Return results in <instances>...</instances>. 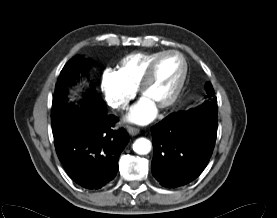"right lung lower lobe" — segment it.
<instances>
[{"label": "right lung lower lobe", "mask_w": 277, "mask_h": 218, "mask_svg": "<svg viewBox=\"0 0 277 218\" xmlns=\"http://www.w3.org/2000/svg\"><path fill=\"white\" fill-rule=\"evenodd\" d=\"M71 83V82H70ZM64 80L56 84L53 100L67 101V85ZM90 92L84 101L82 125L70 129L55 139L57 155L70 178L87 189H99L114 179L118 172L120 153L127 145L129 136L123 129H111L117 118L107 113L91 117L87 108L93 101Z\"/></svg>", "instance_id": "right-lung-lower-lobe-1"}]
</instances>
